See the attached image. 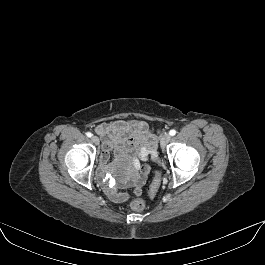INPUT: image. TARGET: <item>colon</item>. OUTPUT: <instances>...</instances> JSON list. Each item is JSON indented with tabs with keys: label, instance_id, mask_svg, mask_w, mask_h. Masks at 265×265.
Instances as JSON below:
<instances>
[{
	"label": "colon",
	"instance_id": "5ec220e1",
	"mask_svg": "<svg viewBox=\"0 0 265 265\" xmlns=\"http://www.w3.org/2000/svg\"><path fill=\"white\" fill-rule=\"evenodd\" d=\"M160 183H161V174L159 172H157L155 174V177L152 181V184L150 186L149 189V196L150 197H154L160 187ZM130 206L132 208V210L134 211H142L145 208V201L143 199H134L133 201H131Z\"/></svg>",
	"mask_w": 265,
	"mask_h": 265
}]
</instances>
